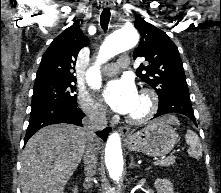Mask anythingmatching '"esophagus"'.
<instances>
[{
  "label": "esophagus",
  "mask_w": 221,
  "mask_h": 193,
  "mask_svg": "<svg viewBox=\"0 0 221 193\" xmlns=\"http://www.w3.org/2000/svg\"><path fill=\"white\" fill-rule=\"evenodd\" d=\"M112 5H113L112 0H105L104 6H105L106 8L112 7ZM129 131H130V129H129L128 127H122V128H120V132H121L122 134H127V133H129Z\"/></svg>",
  "instance_id": "esophagus-1"
}]
</instances>
